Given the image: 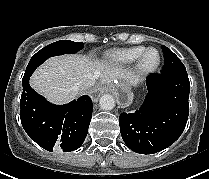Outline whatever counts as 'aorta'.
Masks as SVG:
<instances>
[{
  "label": "aorta",
  "instance_id": "1",
  "mask_svg": "<svg viewBox=\"0 0 209 179\" xmlns=\"http://www.w3.org/2000/svg\"><path fill=\"white\" fill-rule=\"evenodd\" d=\"M100 107L103 110H111L115 107L114 97L110 94H104L99 101Z\"/></svg>",
  "mask_w": 209,
  "mask_h": 179
}]
</instances>
